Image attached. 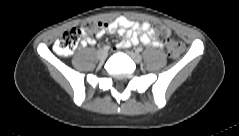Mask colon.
<instances>
[{
  "instance_id": "1",
  "label": "colon",
  "mask_w": 239,
  "mask_h": 136,
  "mask_svg": "<svg viewBox=\"0 0 239 136\" xmlns=\"http://www.w3.org/2000/svg\"><path fill=\"white\" fill-rule=\"evenodd\" d=\"M105 25L100 21H86L80 27L72 28L63 33L55 42L54 50L63 56L72 53L78 46L83 35L88 38L97 37ZM156 30L160 36L166 37V47L169 56L178 57L183 51L184 45L170 38L169 30L163 25H157Z\"/></svg>"
}]
</instances>
